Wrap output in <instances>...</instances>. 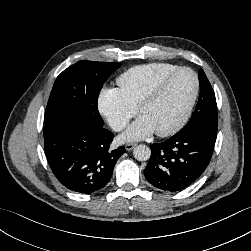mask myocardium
Segmentation results:
<instances>
[{
  "mask_svg": "<svg viewBox=\"0 0 251 251\" xmlns=\"http://www.w3.org/2000/svg\"><path fill=\"white\" fill-rule=\"evenodd\" d=\"M182 72H188L194 77L195 81V87H194V92L191 96V99L181 116V118L170 128L162 131H155V134L159 137H167L171 136L175 133H177L179 130H181L185 124L188 122L192 111L194 109V106L196 104L199 92H200V81L197 73L188 68V67H179L178 69L172 71L165 77H163L161 80H159L149 91L148 93L143 97V99L140 101V103L137 106V112L141 114L142 110L153 103L162 93V91L165 89V87L168 85V83L178 74Z\"/></svg>",
  "mask_w": 251,
  "mask_h": 251,
  "instance_id": "myocardium-1",
  "label": "myocardium"
}]
</instances>
